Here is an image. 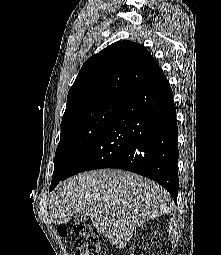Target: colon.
Segmentation results:
<instances>
[{
    "label": "colon",
    "instance_id": "colon-1",
    "mask_svg": "<svg viewBox=\"0 0 221 255\" xmlns=\"http://www.w3.org/2000/svg\"><path fill=\"white\" fill-rule=\"evenodd\" d=\"M73 230L76 235L75 255H107L101 247L99 235L94 228L85 224H77ZM58 233L62 238L66 239L67 228L60 226Z\"/></svg>",
    "mask_w": 221,
    "mask_h": 255
}]
</instances>
